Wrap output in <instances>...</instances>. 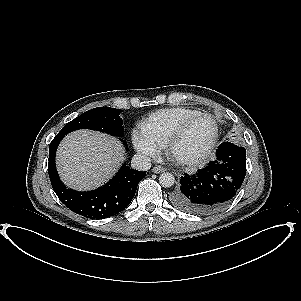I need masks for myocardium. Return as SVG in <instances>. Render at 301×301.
Here are the masks:
<instances>
[{
  "mask_svg": "<svg viewBox=\"0 0 301 301\" xmlns=\"http://www.w3.org/2000/svg\"><path fill=\"white\" fill-rule=\"evenodd\" d=\"M200 118H207V119H210L213 122L214 131H213V135H212V138H211L210 142L205 147V149L199 155H197L195 157L183 158V159L176 157L175 154H174L175 145L183 137V135L185 134L187 128L193 122H195L196 120H198ZM218 136H219V128H218V124H217L216 119L208 113L200 112V113L186 119L185 121H183L174 130V132L169 136V138L167 139L164 147H165V150H166V153H167L168 156L176 159L178 162H180L184 165L195 166V165L202 164V163H204L208 160L210 154L212 153L213 149L215 148V145H216L217 140H218Z\"/></svg>",
  "mask_w": 301,
  "mask_h": 301,
  "instance_id": "obj_1",
  "label": "myocardium"
}]
</instances>
